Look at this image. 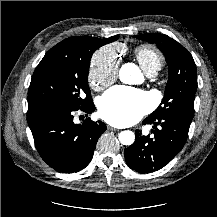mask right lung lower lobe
<instances>
[{"label": "right lung lower lobe", "mask_w": 217, "mask_h": 217, "mask_svg": "<svg viewBox=\"0 0 217 217\" xmlns=\"http://www.w3.org/2000/svg\"><path fill=\"white\" fill-rule=\"evenodd\" d=\"M93 102L80 109L45 106L29 109L28 125L41 158L53 169L62 173L78 172L85 168L106 125L87 118L83 124L73 122V114L82 111L91 114Z\"/></svg>", "instance_id": "obj_1"}]
</instances>
